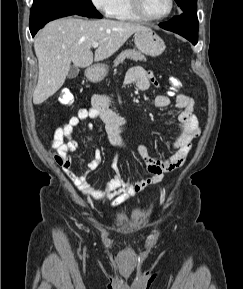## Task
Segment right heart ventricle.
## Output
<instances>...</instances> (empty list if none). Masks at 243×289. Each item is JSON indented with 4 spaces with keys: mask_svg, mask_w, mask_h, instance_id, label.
I'll return each instance as SVG.
<instances>
[{
    "mask_svg": "<svg viewBox=\"0 0 243 289\" xmlns=\"http://www.w3.org/2000/svg\"><path fill=\"white\" fill-rule=\"evenodd\" d=\"M109 16L121 21L138 22L142 20L132 10L130 0H116Z\"/></svg>",
    "mask_w": 243,
    "mask_h": 289,
    "instance_id": "right-heart-ventricle-1",
    "label": "right heart ventricle"
}]
</instances>
